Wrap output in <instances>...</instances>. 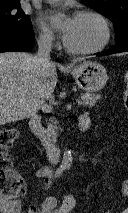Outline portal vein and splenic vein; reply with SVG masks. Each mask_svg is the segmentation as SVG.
<instances>
[{
    "label": "portal vein and splenic vein",
    "instance_id": "1",
    "mask_svg": "<svg viewBox=\"0 0 128 213\" xmlns=\"http://www.w3.org/2000/svg\"><path fill=\"white\" fill-rule=\"evenodd\" d=\"M78 104H79V105L81 104L80 101H78Z\"/></svg>",
    "mask_w": 128,
    "mask_h": 213
}]
</instances>
